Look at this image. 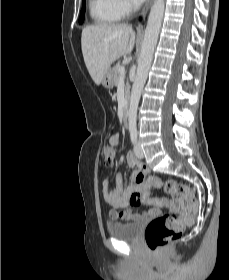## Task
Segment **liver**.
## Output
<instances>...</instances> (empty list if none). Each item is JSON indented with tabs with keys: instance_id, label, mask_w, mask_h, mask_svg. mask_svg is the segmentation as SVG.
<instances>
[{
	"instance_id": "liver-1",
	"label": "liver",
	"mask_w": 229,
	"mask_h": 280,
	"mask_svg": "<svg viewBox=\"0 0 229 280\" xmlns=\"http://www.w3.org/2000/svg\"><path fill=\"white\" fill-rule=\"evenodd\" d=\"M135 38V31L128 24L103 23L82 30L84 62L96 85L101 84L112 63L132 52Z\"/></svg>"
}]
</instances>
